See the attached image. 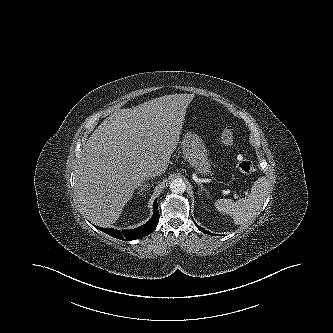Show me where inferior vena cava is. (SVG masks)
<instances>
[{"label": "inferior vena cava", "mask_w": 333, "mask_h": 333, "mask_svg": "<svg viewBox=\"0 0 333 333\" xmlns=\"http://www.w3.org/2000/svg\"><path fill=\"white\" fill-rule=\"evenodd\" d=\"M163 173V171L161 169H159L158 167H154V168H151L147 175H146V178L148 177H154V176H159Z\"/></svg>", "instance_id": "obj_1"}]
</instances>
